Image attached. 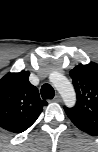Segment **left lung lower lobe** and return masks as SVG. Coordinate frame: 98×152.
Returning <instances> with one entry per match:
<instances>
[{
  "instance_id": "0a47b994",
  "label": "left lung lower lobe",
  "mask_w": 98,
  "mask_h": 152,
  "mask_svg": "<svg viewBox=\"0 0 98 152\" xmlns=\"http://www.w3.org/2000/svg\"><path fill=\"white\" fill-rule=\"evenodd\" d=\"M80 130L90 134V135H93V136H96L98 135V130L97 129H92V128H86V127H78Z\"/></svg>"
}]
</instances>
